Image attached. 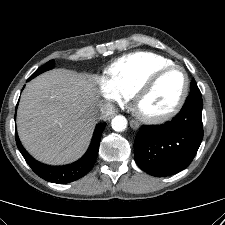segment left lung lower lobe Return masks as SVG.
Wrapping results in <instances>:
<instances>
[{"mask_svg": "<svg viewBox=\"0 0 225 225\" xmlns=\"http://www.w3.org/2000/svg\"><path fill=\"white\" fill-rule=\"evenodd\" d=\"M202 108L201 94H189L171 121L142 127L134 142L137 165L157 177L173 175L188 167L203 138Z\"/></svg>", "mask_w": 225, "mask_h": 225, "instance_id": "left-lung-lower-lobe-1", "label": "left lung lower lobe"}]
</instances>
